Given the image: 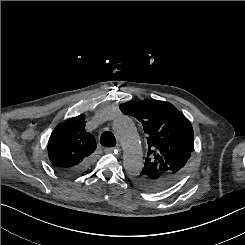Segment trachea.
<instances>
[{
	"instance_id": "trachea-1",
	"label": "trachea",
	"mask_w": 245,
	"mask_h": 245,
	"mask_svg": "<svg viewBox=\"0 0 245 245\" xmlns=\"http://www.w3.org/2000/svg\"><path fill=\"white\" fill-rule=\"evenodd\" d=\"M100 143L106 147H114L116 145V139L113 133L106 131L100 137Z\"/></svg>"
}]
</instances>
